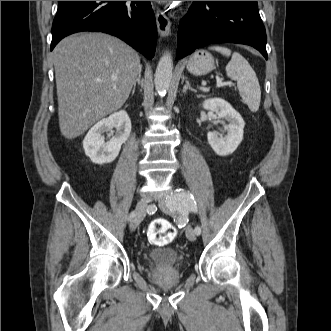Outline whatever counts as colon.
<instances>
[{
	"mask_svg": "<svg viewBox=\"0 0 331 331\" xmlns=\"http://www.w3.org/2000/svg\"><path fill=\"white\" fill-rule=\"evenodd\" d=\"M148 239L155 245L163 246L170 243L176 236L175 227L166 219H154L147 229Z\"/></svg>",
	"mask_w": 331,
	"mask_h": 331,
	"instance_id": "1",
	"label": "colon"
}]
</instances>
